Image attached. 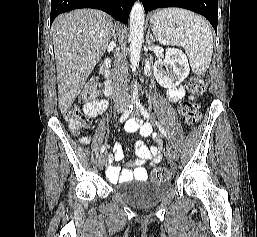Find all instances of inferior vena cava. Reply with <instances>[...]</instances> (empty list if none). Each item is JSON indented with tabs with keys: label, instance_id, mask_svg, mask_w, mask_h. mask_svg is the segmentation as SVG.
Here are the masks:
<instances>
[{
	"label": "inferior vena cava",
	"instance_id": "inferior-vena-cava-1",
	"mask_svg": "<svg viewBox=\"0 0 257 237\" xmlns=\"http://www.w3.org/2000/svg\"><path fill=\"white\" fill-rule=\"evenodd\" d=\"M111 47L116 48V43L112 41L110 43ZM114 89H113V99L117 104L128 103L129 94L127 92V65H126V54L120 52L116 49L114 54Z\"/></svg>",
	"mask_w": 257,
	"mask_h": 237
}]
</instances>
